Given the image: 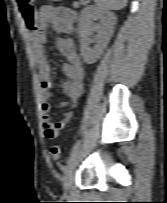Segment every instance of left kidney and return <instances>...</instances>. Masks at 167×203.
Masks as SVG:
<instances>
[{"label":"left kidney","instance_id":"5707ae66","mask_svg":"<svg viewBox=\"0 0 167 203\" xmlns=\"http://www.w3.org/2000/svg\"><path fill=\"white\" fill-rule=\"evenodd\" d=\"M96 20H100V23L94 24L93 21ZM116 21L114 13L100 7L88 6L84 9L78 26L80 51L84 62L93 64L100 58L113 34ZM94 30H98L99 35L96 38L97 44L90 48L89 45L92 43V40L89 36Z\"/></svg>","mask_w":167,"mask_h":203}]
</instances>
